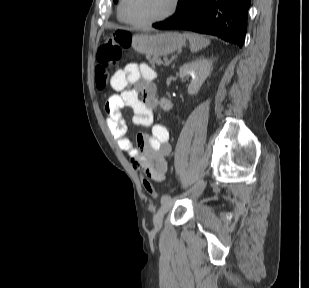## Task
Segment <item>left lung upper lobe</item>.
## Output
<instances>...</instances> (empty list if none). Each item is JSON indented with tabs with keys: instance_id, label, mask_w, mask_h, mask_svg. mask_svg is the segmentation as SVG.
Listing matches in <instances>:
<instances>
[{
	"instance_id": "obj_1",
	"label": "left lung upper lobe",
	"mask_w": 309,
	"mask_h": 288,
	"mask_svg": "<svg viewBox=\"0 0 309 288\" xmlns=\"http://www.w3.org/2000/svg\"><path fill=\"white\" fill-rule=\"evenodd\" d=\"M118 0H114L115 3H117Z\"/></svg>"
}]
</instances>
